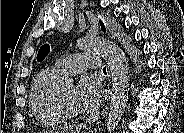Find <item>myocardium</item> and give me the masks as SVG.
<instances>
[{
	"mask_svg": "<svg viewBox=\"0 0 184 133\" xmlns=\"http://www.w3.org/2000/svg\"><path fill=\"white\" fill-rule=\"evenodd\" d=\"M56 102H57L59 112L61 113L64 120L75 121V120H78L80 118L79 115L73 114L66 107L64 100H63V96H62V87L61 86L59 87V89L57 91Z\"/></svg>",
	"mask_w": 184,
	"mask_h": 133,
	"instance_id": "myocardium-1",
	"label": "myocardium"
}]
</instances>
